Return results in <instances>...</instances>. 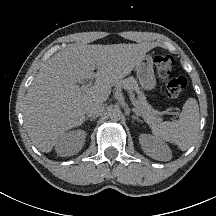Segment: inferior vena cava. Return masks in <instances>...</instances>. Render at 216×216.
Returning a JSON list of instances; mask_svg holds the SVG:
<instances>
[{
  "instance_id": "inferior-vena-cava-1",
  "label": "inferior vena cava",
  "mask_w": 216,
  "mask_h": 216,
  "mask_svg": "<svg viewBox=\"0 0 216 216\" xmlns=\"http://www.w3.org/2000/svg\"><path fill=\"white\" fill-rule=\"evenodd\" d=\"M104 111V106L101 102H92L88 104L85 108V113L89 117H98Z\"/></svg>"
}]
</instances>
